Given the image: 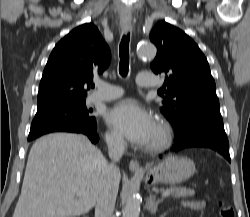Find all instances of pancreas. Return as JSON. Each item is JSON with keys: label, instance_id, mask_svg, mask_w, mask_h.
<instances>
[{"label": "pancreas", "instance_id": "cf45deb5", "mask_svg": "<svg viewBox=\"0 0 250 217\" xmlns=\"http://www.w3.org/2000/svg\"><path fill=\"white\" fill-rule=\"evenodd\" d=\"M164 191H170L171 195L175 198H181V197H187V196H193L195 194L194 190L188 189V188H182V187H170L167 189H161V192Z\"/></svg>", "mask_w": 250, "mask_h": 217}]
</instances>
